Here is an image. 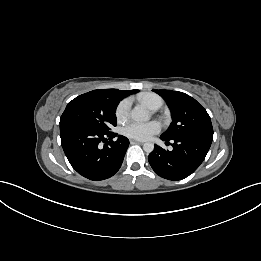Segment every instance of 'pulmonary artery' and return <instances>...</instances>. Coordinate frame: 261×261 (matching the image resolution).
<instances>
[{
  "label": "pulmonary artery",
  "mask_w": 261,
  "mask_h": 261,
  "mask_svg": "<svg viewBox=\"0 0 261 261\" xmlns=\"http://www.w3.org/2000/svg\"><path fill=\"white\" fill-rule=\"evenodd\" d=\"M161 104H162L161 101L157 102V103L154 105V107L152 108V110H157V109L161 106Z\"/></svg>",
  "instance_id": "1"
}]
</instances>
